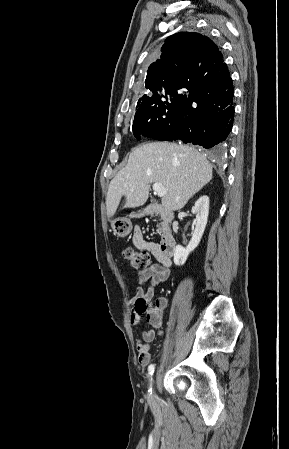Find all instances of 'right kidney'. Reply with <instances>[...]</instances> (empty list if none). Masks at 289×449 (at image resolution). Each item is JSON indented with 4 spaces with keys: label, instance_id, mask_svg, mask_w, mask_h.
<instances>
[{
    "label": "right kidney",
    "instance_id": "right-kidney-1",
    "mask_svg": "<svg viewBox=\"0 0 289 449\" xmlns=\"http://www.w3.org/2000/svg\"><path fill=\"white\" fill-rule=\"evenodd\" d=\"M192 213L196 214V226L192 238L186 248L177 245L174 251V263L177 266H182L186 262L188 255L199 245L200 240L205 231L208 215H209V197L207 195L201 196L192 208Z\"/></svg>",
    "mask_w": 289,
    "mask_h": 449
}]
</instances>
